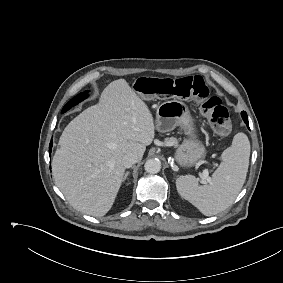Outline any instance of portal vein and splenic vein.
<instances>
[{"mask_svg": "<svg viewBox=\"0 0 283 283\" xmlns=\"http://www.w3.org/2000/svg\"><path fill=\"white\" fill-rule=\"evenodd\" d=\"M200 177L202 180L210 182L209 173L206 169L201 173Z\"/></svg>", "mask_w": 283, "mask_h": 283, "instance_id": "obj_1", "label": "portal vein and splenic vein"}]
</instances>
